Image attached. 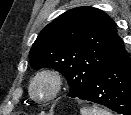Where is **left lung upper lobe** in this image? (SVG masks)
Here are the masks:
<instances>
[{
    "label": "left lung upper lobe",
    "instance_id": "obj_1",
    "mask_svg": "<svg viewBox=\"0 0 131 115\" xmlns=\"http://www.w3.org/2000/svg\"><path fill=\"white\" fill-rule=\"evenodd\" d=\"M126 53L114 21L94 7L68 10L48 24L34 42L31 67L54 68L77 97L104 69Z\"/></svg>",
    "mask_w": 131,
    "mask_h": 115
}]
</instances>
